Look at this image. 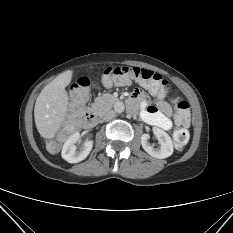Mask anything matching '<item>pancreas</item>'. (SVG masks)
<instances>
[{
    "mask_svg": "<svg viewBox=\"0 0 233 233\" xmlns=\"http://www.w3.org/2000/svg\"><path fill=\"white\" fill-rule=\"evenodd\" d=\"M116 101L117 99L109 93L99 95L91 105L90 112L101 117L106 111L112 108Z\"/></svg>",
    "mask_w": 233,
    "mask_h": 233,
    "instance_id": "1",
    "label": "pancreas"
}]
</instances>
